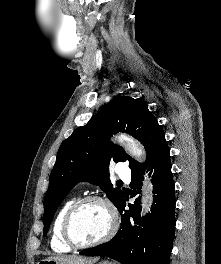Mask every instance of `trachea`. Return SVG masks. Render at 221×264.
<instances>
[{
	"label": "trachea",
	"instance_id": "1",
	"mask_svg": "<svg viewBox=\"0 0 221 264\" xmlns=\"http://www.w3.org/2000/svg\"><path fill=\"white\" fill-rule=\"evenodd\" d=\"M119 184H122V181H118Z\"/></svg>",
	"mask_w": 221,
	"mask_h": 264
}]
</instances>
